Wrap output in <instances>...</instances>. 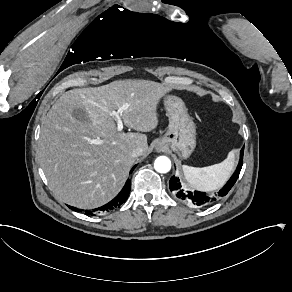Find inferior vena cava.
Instances as JSON below:
<instances>
[{
	"mask_svg": "<svg viewBox=\"0 0 292 292\" xmlns=\"http://www.w3.org/2000/svg\"><path fill=\"white\" fill-rule=\"evenodd\" d=\"M142 152H143V149L142 148H136L134 149L133 153H132V156L135 158V157H139L142 155Z\"/></svg>",
	"mask_w": 292,
	"mask_h": 292,
	"instance_id": "obj_1",
	"label": "inferior vena cava"
}]
</instances>
